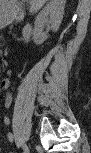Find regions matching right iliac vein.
I'll return each mask as SVG.
<instances>
[{"instance_id": "obj_1", "label": "right iliac vein", "mask_w": 91, "mask_h": 153, "mask_svg": "<svg viewBox=\"0 0 91 153\" xmlns=\"http://www.w3.org/2000/svg\"><path fill=\"white\" fill-rule=\"evenodd\" d=\"M24 153H29V148L27 146L24 147Z\"/></svg>"}]
</instances>
